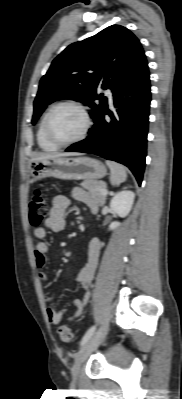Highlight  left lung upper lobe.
Instances as JSON below:
<instances>
[{
	"label": "left lung upper lobe",
	"mask_w": 182,
	"mask_h": 399,
	"mask_svg": "<svg viewBox=\"0 0 182 399\" xmlns=\"http://www.w3.org/2000/svg\"><path fill=\"white\" fill-rule=\"evenodd\" d=\"M145 62L137 37L120 25L69 45L40 81L32 124L47 105L60 99L86 103L92 108L90 116L94 119L107 107V98L98 90L110 88L114 92Z\"/></svg>",
	"instance_id": "left-lung-upper-lobe-1"
}]
</instances>
